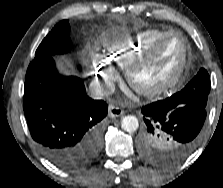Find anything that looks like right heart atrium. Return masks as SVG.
I'll list each match as a JSON object with an SVG mask.
<instances>
[{
  "mask_svg": "<svg viewBox=\"0 0 223 188\" xmlns=\"http://www.w3.org/2000/svg\"><path fill=\"white\" fill-rule=\"evenodd\" d=\"M94 80L104 91H110L117 77L115 68L101 55L94 54L92 58Z\"/></svg>",
  "mask_w": 223,
  "mask_h": 188,
  "instance_id": "obj_1",
  "label": "right heart atrium"
}]
</instances>
